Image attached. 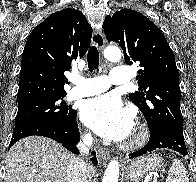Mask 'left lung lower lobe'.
Masks as SVG:
<instances>
[{
	"label": "left lung lower lobe",
	"mask_w": 196,
	"mask_h": 182,
	"mask_svg": "<svg viewBox=\"0 0 196 182\" xmlns=\"http://www.w3.org/2000/svg\"><path fill=\"white\" fill-rule=\"evenodd\" d=\"M160 148L171 149L182 155L188 154L183 133H179L167 127H160L156 131L150 132V138L146 146L129 154V157L135 158Z\"/></svg>",
	"instance_id": "1"
}]
</instances>
